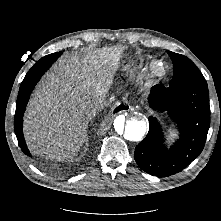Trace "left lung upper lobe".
<instances>
[{
  "instance_id": "5c2ea615",
  "label": "left lung upper lobe",
  "mask_w": 221,
  "mask_h": 221,
  "mask_svg": "<svg viewBox=\"0 0 221 221\" xmlns=\"http://www.w3.org/2000/svg\"><path fill=\"white\" fill-rule=\"evenodd\" d=\"M174 66V75L170 86H177L190 81L205 80L197 66L186 56L167 51Z\"/></svg>"
}]
</instances>
